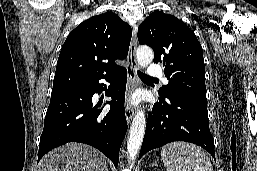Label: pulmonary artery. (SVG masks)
<instances>
[{"instance_id": "obj_1", "label": "pulmonary artery", "mask_w": 257, "mask_h": 171, "mask_svg": "<svg viewBox=\"0 0 257 171\" xmlns=\"http://www.w3.org/2000/svg\"><path fill=\"white\" fill-rule=\"evenodd\" d=\"M148 76L151 78H163V81L166 82V79L163 77V72L161 67L156 63H151L149 65Z\"/></svg>"}]
</instances>
